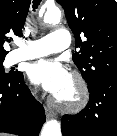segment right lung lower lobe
<instances>
[{
  "mask_svg": "<svg viewBox=\"0 0 117 136\" xmlns=\"http://www.w3.org/2000/svg\"><path fill=\"white\" fill-rule=\"evenodd\" d=\"M44 122V108L23 83V73L0 78V132L38 136Z\"/></svg>",
  "mask_w": 117,
  "mask_h": 136,
  "instance_id": "1",
  "label": "right lung lower lobe"
}]
</instances>
